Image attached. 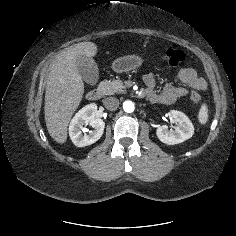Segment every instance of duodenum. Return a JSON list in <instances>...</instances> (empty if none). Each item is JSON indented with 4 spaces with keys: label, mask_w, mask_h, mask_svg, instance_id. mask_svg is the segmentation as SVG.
Returning <instances> with one entry per match:
<instances>
[{
    "label": "duodenum",
    "mask_w": 236,
    "mask_h": 236,
    "mask_svg": "<svg viewBox=\"0 0 236 236\" xmlns=\"http://www.w3.org/2000/svg\"><path fill=\"white\" fill-rule=\"evenodd\" d=\"M103 93H104V88L102 86H98L87 93V99L89 101H97L101 98Z\"/></svg>",
    "instance_id": "410a0bca"
}]
</instances>
